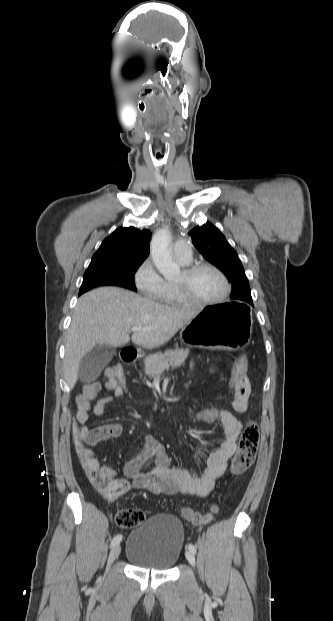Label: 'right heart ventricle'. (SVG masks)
Returning <instances> with one entry per match:
<instances>
[{
	"instance_id": "obj_1",
	"label": "right heart ventricle",
	"mask_w": 333,
	"mask_h": 621,
	"mask_svg": "<svg viewBox=\"0 0 333 621\" xmlns=\"http://www.w3.org/2000/svg\"><path fill=\"white\" fill-rule=\"evenodd\" d=\"M180 263L188 264V263H183L181 261ZM158 300L165 305H171V306L181 305L185 303L179 296L175 288V283L172 281H164V288Z\"/></svg>"
}]
</instances>
